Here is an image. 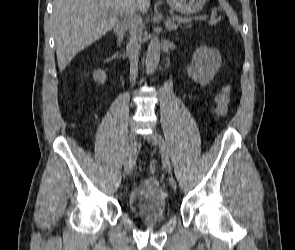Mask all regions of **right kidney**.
Returning <instances> with one entry per match:
<instances>
[{
	"label": "right kidney",
	"mask_w": 295,
	"mask_h": 250,
	"mask_svg": "<svg viewBox=\"0 0 295 250\" xmlns=\"http://www.w3.org/2000/svg\"><path fill=\"white\" fill-rule=\"evenodd\" d=\"M93 78L98 83L103 84L107 79V75H106V73L104 71L98 70V71L94 72Z\"/></svg>",
	"instance_id": "ca27d5eb"
}]
</instances>
